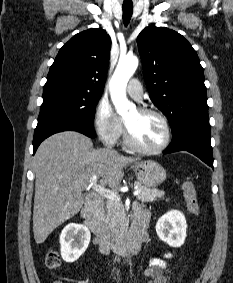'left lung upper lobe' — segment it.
<instances>
[{"label":"left lung upper lobe","mask_w":233,"mask_h":283,"mask_svg":"<svg viewBox=\"0 0 233 283\" xmlns=\"http://www.w3.org/2000/svg\"><path fill=\"white\" fill-rule=\"evenodd\" d=\"M152 102L168 118L172 135L192 122H209L203 68L179 33L154 25L137 37Z\"/></svg>","instance_id":"5c2ea615"}]
</instances>
